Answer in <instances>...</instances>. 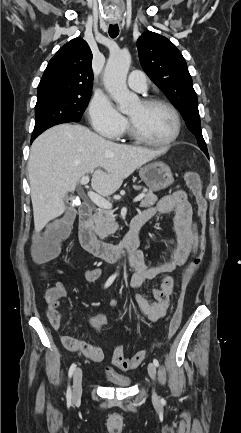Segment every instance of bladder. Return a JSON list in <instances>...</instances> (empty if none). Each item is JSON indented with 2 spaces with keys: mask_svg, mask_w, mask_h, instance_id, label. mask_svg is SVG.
<instances>
[{
  "mask_svg": "<svg viewBox=\"0 0 241 433\" xmlns=\"http://www.w3.org/2000/svg\"><path fill=\"white\" fill-rule=\"evenodd\" d=\"M109 386L117 388H127L131 385V378L128 375L119 374L117 372L107 373L106 375Z\"/></svg>",
  "mask_w": 241,
  "mask_h": 433,
  "instance_id": "obj_1",
  "label": "bladder"
}]
</instances>
